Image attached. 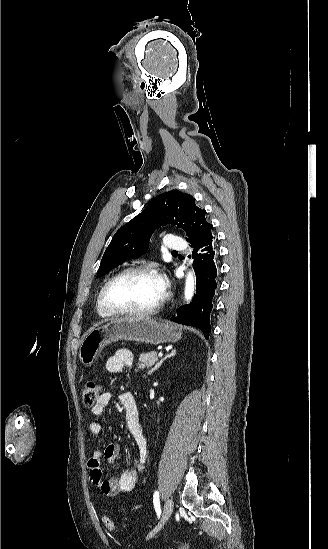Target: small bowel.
Segmentation results:
<instances>
[{
	"instance_id": "1",
	"label": "small bowel",
	"mask_w": 328,
	"mask_h": 549,
	"mask_svg": "<svg viewBox=\"0 0 328 549\" xmlns=\"http://www.w3.org/2000/svg\"><path fill=\"white\" fill-rule=\"evenodd\" d=\"M132 366L133 354L126 349L116 351L107 359L105 364V368L109 373H118L124 368H131ZM110 401L111 394L102 393L91 409L93 416H103ZM119 401L125 412L126 427L137 446L139 458L135 469L125 468L119 476L106 480L103 474L102 459H105L111 465L115 464L120 453V446L118 443L113 442L108 444L105 449L96 447L92 451L87 462L90 478L100 494L107 498H115L134 489L145 468L148 453L147 440L139 421L138 407L133 395L127 391L121 392ZM88 428L94 435H99L102 432V425L98 421H91Z\"/></svg>"
}]
</instances>
